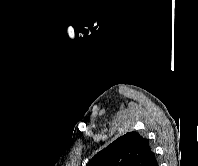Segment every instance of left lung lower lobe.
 I'll return each instance as SVG.
<instances>
[{"mask_svg": "<svg viewBox=\"0 0 198 166\" xmlns=\"http://www.w3.org/2000/svg\"><path fill=\"white\" fill-rule=\"evenodd\" d=\"M151 166H158L157 160H155Z\"/></svg>", "mask_w": 198, "mask_h": 166, "instance_id": "left-lung-lower-lobe-1", "label": "left lung lower lobe"}]
</instances>
